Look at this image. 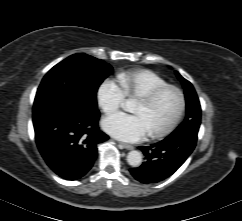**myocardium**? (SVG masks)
<instances>
[{"label":"myocardium","mask_w":242,"mask_h":221,"mask_svg":"<svg viewBox=\"0 0 242 221\" xmlns=\"http://www.w3.org/2000/svg\"><path fill=\"white\" fill-rule=\"evenodd\" d=\"M166 92H173L176 94L178 98V108L177 111L174 115V117L171 119V121L165 125L164 127L151 131L149 132V136L152 138H159L163 137L169 133H171L176 126L179 124L181 121L185 108H186V98L183 93V91L178 88L177 86L174 85H164L159 88L154 89L153 91L141 96L138 98L139 101H142L143 103L147 105H151L154 102H156L163 94Z\"/></svg>","instance_id":"obj_1"}]
</instances>
